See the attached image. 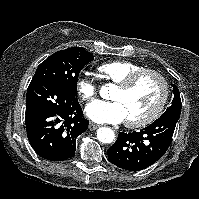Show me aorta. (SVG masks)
I'll use <instances>...</instances> for the list:
<instances>
[{
    "label": "aorta",
    "mask_w": 199,
    "mask_h": 199,
    "mask_svg": "<svg viewBox=\"0 0 199 199\" xmlns=\"http://www.w3.org/2000/svg\"><path fill=\"white\" fill-rule=\"evenodd\" d=\"M109 87L103 86L100 90V94L102 97L106 96ZM97 139L102 143H111L115 139V134L112 129L102 127L97 130Z\"/></svg>",
    "instance_id": "aorta-1"
}]
</instances>
